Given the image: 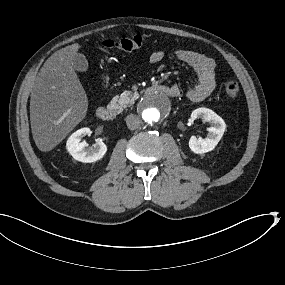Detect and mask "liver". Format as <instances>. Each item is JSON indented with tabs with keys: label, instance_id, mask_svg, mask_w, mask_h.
Masks as SVG:
<instances>
[{
	"label": "liver",
	"instance_id": "liver-1",
	"mask_svg": "<svg viewBox=\"0 0 285 285\" xmlns=\"http://www.w3.org/2000/svg\"><path fill=\"white\" fill-rule=\"evenodd\" d=\"M80 48L74 43L57 50L35 79L30 121L33 140L41 152L56 148L87 115L89 100L73 62Z\"/></svg>",
	"mask_w": 285,
	"mask_h": 285
}]
</instances>
